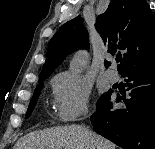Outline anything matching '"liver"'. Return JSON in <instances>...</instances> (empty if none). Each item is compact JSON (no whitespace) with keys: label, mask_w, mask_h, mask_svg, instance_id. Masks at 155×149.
Instances as JSON below:
<instances>
[{"label":"liver","mask_w":155,"mask_h":149,"mask_svg":"<svg viewBox=\"0 0 155 149\" xmlns=\"http://www.w3.org/2000/svg\"><path fill=\"white\" fill-rule=\"evenodd\" d=\"M13 149H116V145L83 126L68 125L28 133Z\"/></svg>","instance_id":"1"}]
</instances>
